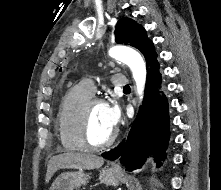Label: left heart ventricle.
Listing matches in <instances>:
<instances>
[{
	"instance_id": "left-heart-ventricle-1",
	"label": "left heart ventricle",
	"mask_w": 221,
	"mask_h": 190,
	"mask_svg": "<svg viewBox=\"0 0 221 190\" xmlns=\"http://www.w3.org/2000/svg\"><path fill=\"white\" fill-rule=\"evenodd\" d=\"M113 131L114 129L107 123L105 105H95L91 110L88 126L90 141L94 144L104 142L109 138Z\"/></svg>"
}]
</instances>
